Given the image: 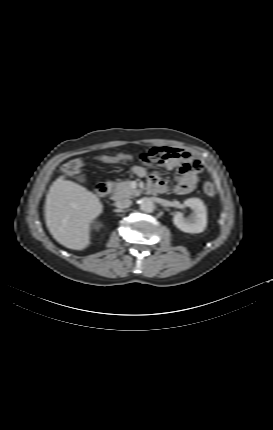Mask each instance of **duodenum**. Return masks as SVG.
I'll use <instances>...</instances> for the list:
<instances>
[{
	"label": "duodenum",
	"instance_id": "1",
	"mask_svg": "<svg viewBox=\"0 0 273 430\" xmlns=\"http://www.w3.org/2000/svg\"><path fill=\"white\" fill-rule=\"evenodd\" d=\"M110 192V185L107 182H100L96 185V193L100 197L108 195Z\"/></svg>",
	"mask_w": 273,
	"mask_h": 430
}]
</instances>
